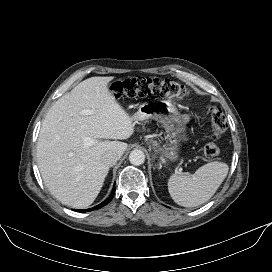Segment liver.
<instances>
[{
	"instance_id": "6515ba94",
	"label": "liver",
	"mask_w": 272,
	"mask_h": 272,
	"mask_svg": "<svg viewBox=\"0 0 272 272\" xmlns=\"http://www.w3.org/2000/svg\"><path fill=\"white\" fill-rule=\"evenodd\" d=\"M113 79L91 77L79 83L52 105L40 129L37 161L42 179L57 200L72 208L94 202L109 171L103 154L113 151L121 157L128 145L117 140L134 133L131 116L109 91ZM83 110L92 114L83 115ZM85 138L95 143L86 147Z\"/></svg>"
}]
</instances>
